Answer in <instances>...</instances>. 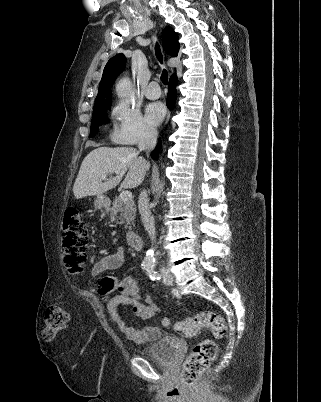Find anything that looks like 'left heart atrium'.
Segmentation results:
<instances>
[{
	"label": "left heart atrium",
	"mask_w": 321,
	"mask_h": 402,
	"mask_svg": "<svg viewBox=\"0 0 321 402\" xmlns=\"http://www.w3.org/2000/svg\"><path fill=\"white\" fill-rule=\"evenodd\" d=\"M165 113L166 110L164 105L159 102L150 103L146 107V118L152 125L159 124L163 120Z\"/></svg>",
	"instance_id": "1"
}]
</instances>
